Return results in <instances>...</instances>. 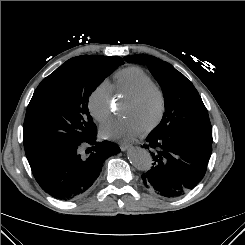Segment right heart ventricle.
<instances>
[{"label":"right heart ventricle","mask_w":245,"mask_h":245,"mask_svg":"<svg viewBox=\"0 0 245 245\" xmlns=\"http://www.w3.org/2000/svg\"><path fill=\"white\" fill-rule=\"evenodd\" d=\"M152 81L145 70L137 66H130L114 74L112 87L117 96L126 98L140 86Z\"/></svg>","instance_id":"obj_1"}]
</instances>
